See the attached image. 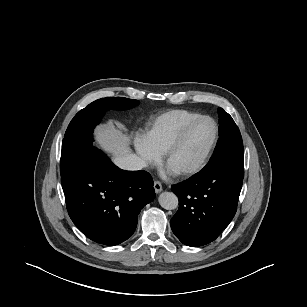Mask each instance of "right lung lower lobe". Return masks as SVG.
Instances as JSON below:
<instances>
[{"label":"right lung lower lobe","instance_id":"1","mask_svg":"<svg viewBox=\"0 0 307 307\" xmlns=\"http://www.w3.org/2000/svg\"><path fill=\"white\" fill-rule=\"evenodd\" d=\"M61 183L74 224L89 239L108 246L134 233L140 210L155 197L149 173L123 171L95 147Z\"/></svg>","mask_w":307,"mask_h":307}]
</instances>
